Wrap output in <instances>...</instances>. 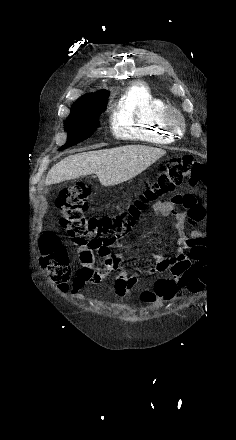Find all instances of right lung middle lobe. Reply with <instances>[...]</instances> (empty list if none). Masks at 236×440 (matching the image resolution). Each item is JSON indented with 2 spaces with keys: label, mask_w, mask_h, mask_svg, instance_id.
<instances>
[{
  "label": "right lung middle lobe",
  "mask_w": 236,
  "mask_h": 440,
  "mask_svg": "<svg viewBox=\"0 0 236 440\" xmlns=\"http://www.w3.org/2000/svg\"><path fill=\"white\" fill-rule=\"evenodd\" d=\"M108 95L86 101L75 102L65 121L67 142L59 150L75 145L87 138L99 127L98 118L105 109Z\"/></svg>",
  "instance_id": "right-lung-middle-lobe-1"
}]
</instances>
